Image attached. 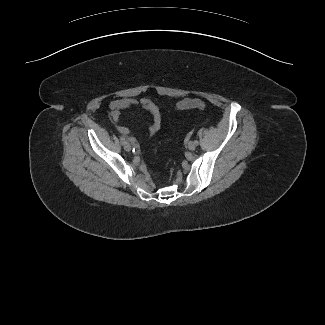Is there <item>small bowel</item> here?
<instances>
[{"label": "small bowel", "mask_w": 325, "mask_h": 325, "mask_svg": "<svg viewBox=\"0 0 325 325\" xmlns=\"http://www.w3.org/2000/svg\"><path fill=\"white\" fill-rule=\"evenodd\" d=\"M139 107L148 110L151 114V123L149 125L147 134L149 136L156 134L161 128L162 111L160 107L151 99L143 98L141 100H137L134 98L124 97L118 100H113L109 103L112 121L117 125L118 131L127 136L132 143H134L136 139L132 135L129 128L119 124V115L122 111L137 109Z\"/></svg>", "instance_id": "obj_1"}]
</instances>
